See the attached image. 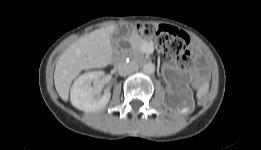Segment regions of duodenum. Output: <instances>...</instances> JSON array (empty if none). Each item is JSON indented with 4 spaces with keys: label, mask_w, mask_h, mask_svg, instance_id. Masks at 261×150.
Segmentation results:
<instances>
[{
    "label": "duodenum",
    "mask_w": 261,
    "mask_h": 150,
    "mask_svg": "<svg viewBox=\"0 0 261 150\" xmlns=\"http://www.w3.org/2000/svg\"><path fill=\"white\" fill-rule=\"evenodd\" d=\"M120 58H121L120 56L116 57L117 60H120Z\"/></svg>",
    "instance_id": "410a0bca"
}]
</instances>
